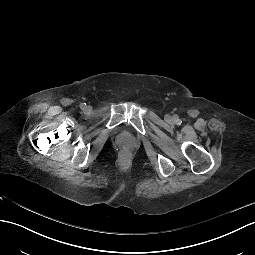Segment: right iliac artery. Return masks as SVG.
<instances>
[{
    "instance_id": "right-iliac-artery-1",
    "label": "right iliac artery",
    "mask_w": 255,
    "mask_h": 255,
    "mask_svg": "<svg viewBox=\"0 0 255 255\" xmlns=\"http://www.w3.org/2000/svg\"><path fill=\"white\" fill-rule=\"evenodd\" d=\"M80 108H81V109H85V108H86V104H85V103H81V104H80Z\"/></svg>"
}]
</instances>
